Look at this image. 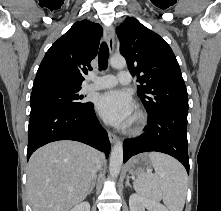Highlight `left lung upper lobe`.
Returning <instances> with one entry per match:
<instances>
[{
	"label": "left lung upper lobe",
	"mask_w": 221,
	"mask_h": 211,
	"mask_svg": "<svg viewBox=\"0 0 221 211\" xmlns=\"http://www.w3.org/2000/svg\"><path fill=\"white\" fill-rule=\"evenodd\" d=\"M116 31L120 52L131 74L137 75L138 96L148 114L188 110V95L179 64L163 38L135 18H126Z\"/></svg>",
	"instance_id": "obj_1"
}]
</instances>
